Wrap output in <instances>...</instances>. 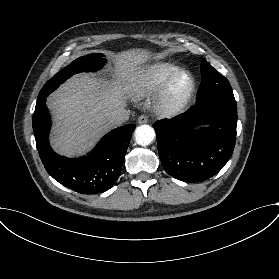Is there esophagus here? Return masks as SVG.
Returning <instances> with one entry per match:
<instances>
[{"instance_id":"34e87169","label":"esophagus","mask_w":279,"mask_h":279,"mask_svg":"<svg viewBox=\"0 0 279 279\" xmlns=\"http://www.w3.org/2000/svg\"><path fill=\"white\" fill-rule=\"evenodd\" d=\"M148 122V117L144 114L140 115L138 118L139 124H146Z\"/></svg>"}]
</instances>
